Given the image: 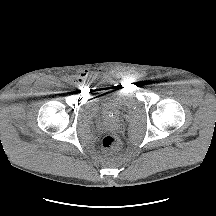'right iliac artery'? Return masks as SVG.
<instances>
[{
	"instance_id": "right-iliac-artery-1",
	"label": "right iliac artery",
	"mask_w": 216,
	"mask_h": 216,
	"mask_svg": "<svg viewBox=\"0 0 216 216\" xmlns=\"http://www.w3.org/2000/svg\"><path fill=\"white\" fill-rule=\"evenodd\" d=\"M63 81H64L65 84H68V83H69V80H68V79H65V78H63Z\"/></svg>"
}]
</instances>
